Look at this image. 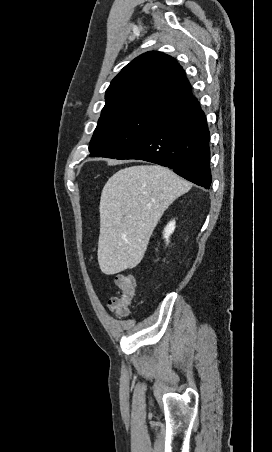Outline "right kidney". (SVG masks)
Instances as JSON below:
<instances>
[{"label":"right kidney","mask_w":272,"mask_h":452,"mask_svg":"<svg viewBox=\"0 0 272 452\" xmlns=\"http://www.w3.org/2000/svg\"><path fill=\"white\" fill-rule=\"evenodd\" d=\"M174 230H175V220H172L166 225L163 232V236L166 239L167 244L169 243V237L174 232Z\"/></svg>","instance_id":"right-kidney-1"}]
</instances>
